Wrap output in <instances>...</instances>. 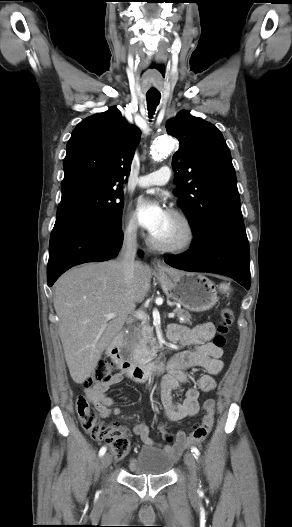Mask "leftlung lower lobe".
<instances>
[{
  "instance_id": "left-lung-lower-lobe-1",
  "label": "left lung lower lobe",
  "mask_w": 292,
  "mask_h": 527,
  "mask_svg": "<svg viewBox=\"0 0 292 527\" xmlns=\"http://www.w3.org/2000/svg\"><path fill=\"white\" fill-rule=\"evenodd\" d=\"M249 243L245 228L220 227L194 236L191 248L181 255H164L177 269L217 273L250 288Z\"/></svg>"
}]
</instances>
